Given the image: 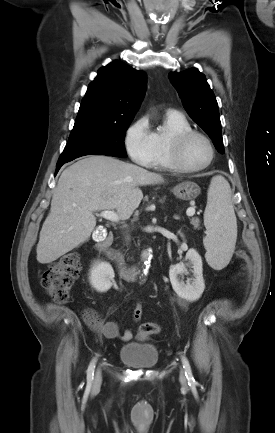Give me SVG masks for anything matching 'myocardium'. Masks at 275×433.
Returning <instances> with one entry per match:
<instances>
[{
    "label": "myocardium",
    "mask_w": 275,
    "mask_h": 433,
    "mask_svg": "<svg viewBox=\"0 0 275 433\" xmlns=\"http://www.w3.org/2000/svg\"><path fill=\"white\" fill-rule=\"evenodd\" d=\"M194 137L202 138L206 142L210 150L209 160L205 164L198 167L189 166L183 160V151L185 145L189 140H191ZM169 158L173 167L178 171L189 172V173L199 172L208 168L212 164L215 158V148L211 139L206 134L198 130L191 129L182 132L171 139L169 143Z\"/></svg>",
    "instance_id": "myocardium-1"
}]
</instances>
